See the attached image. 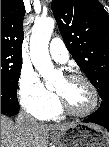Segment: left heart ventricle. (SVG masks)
<instances>
[{
  "label": "left heart ventricle",
  "instance_id": "b2bd125f",
  "mask_svg": "<svg viewBox=\"0 0 109 147\" xmlns=\"http://www.w3.org/2000/svg\"><path fill=\"white\" fill-rule=\"evenodd\" d=\"M56 91L64 95L72 108L77 111H85L93 103L91 89L81 80L68 81L66 78H63L59 82Z\"/></svg>",
  "mask_w": 109,
  "mask_h": 147
}]
</instances>
